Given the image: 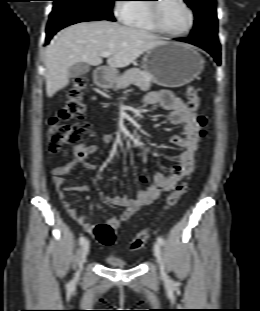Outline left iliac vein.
Returning <instances> with one entry per match:
<instances>
[{
  "mask_svg": "<svg viewBox=\"0 0 260 311\" xmlns=\"http://www.w3.org/2000/svg\"><path fill=\"white\" fill-rule=\"evenodd\" d=\"M153 251H154V256L156 257V259L160 265L161 272L164 275L165 273H164L162 251H161L160 244L158 242H155L154 247H153Z\"/></svg>",
  "mask_w": 260,
  "mask_h": 311,
  "instance_id": "left-iliac-vein-1",
  "label": "left iliac vein"
}]
</instances>
